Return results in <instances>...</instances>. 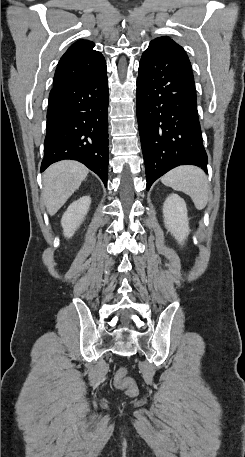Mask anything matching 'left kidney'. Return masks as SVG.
Returning a JSON list of instances; mask_svg holds the SVG:
<instances>
[{"mask_svg":"<svg viewBox=\"0 0 245 457\" xmlns=\"http://www.w3.org/2000/svg\"><path fill=\"white\" fill-rule=\"evenodd\" d=\"M163 216L166 229L179 245H183L190 233L184 198H181L179 194H169L163 204Z\"/></svg>","mask_w":245,"mask_h":457,"instance_id":"obj_1","label":"left kidney"}]
</instances>
